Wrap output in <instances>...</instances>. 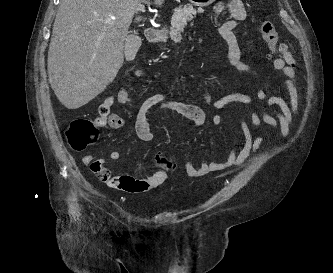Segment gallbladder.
<instances>
[{
  "label": "gallbladder",
  "instance_id": "1",
  "mask_svg": "<svg viewBox=\"0 0 333 273\" xmlns=\"http://www.w3.org/2000/svg\"><path fill=\"white\" fill-rule=\"evenodd\" d=\"M140 43L141 39L137 35H130L127 38L124 45V54L127 61L134 60Z\"/></svg>",
  "mask_w": 333,
  "mask_h": 273
}]
</instances>
